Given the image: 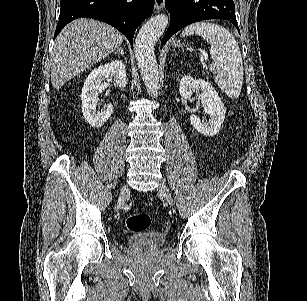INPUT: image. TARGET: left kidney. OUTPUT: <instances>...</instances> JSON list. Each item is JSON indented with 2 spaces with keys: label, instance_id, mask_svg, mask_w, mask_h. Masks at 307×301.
I'll return each mask as SVG.
<instances>
[{
  "label": "left kidney",
  "instance_id": "obj_1",
  "mask_svg": "<svg viewBox=\"0 0 307 301\" xmlns=\"http://www.w3.org/2000/svg\"><path fill=\"white\" fill-rule=\"evenodd\" d=\"M179 92L181 96H185V98L191 96L193 92H196V96L198 100L202 102L205 112L210 114L208 122L200 120L199 116H196V114H190L192 126H194L198 132H201V134H205V136H214V134H218L225 118L226 108L211 82L185 74L180 80Z\"/></svg>",
  "mask_w": 307,
  "mask_h": 301
}]
</instances>
